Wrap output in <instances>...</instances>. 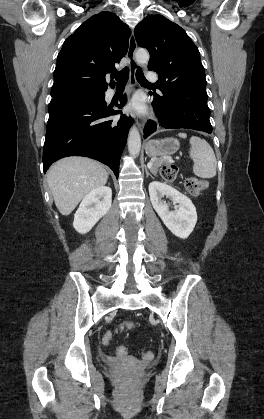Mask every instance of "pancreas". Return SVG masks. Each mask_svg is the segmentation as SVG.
Listing matches in <instances>:
<instances>
[{
  "instance_id": "pancreas-1",
  "label": "pancreas",
  "mask_w": 264,
  "mask_h": 419,
  "mask_svg": "<svg viewBox=\"0 0 264 419\" xmlns=\"http://www.w3.org/2000/svg\"><path fill=\"white\" fill-rule=\"evenodd\" d=\"M165 162H167L166 159H158L153 163V167L151 168V171L153 174H156L158 171V168L163 165Z\"/></svg>"
}]
</instances>
